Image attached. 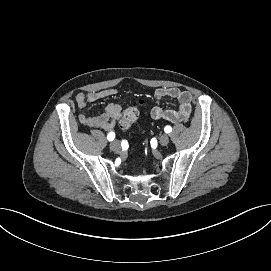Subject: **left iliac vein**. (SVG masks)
I'll use <instances>...</instances> for the list:
<instances>
[{
  "mask_svg": "<svg viewBox=\"0 0 271 271\" xmlns=\"http://www.w3.org/2000/svg\"><path fill=\"white\" fill-rule=\"evenodd\" d=\"M159 142L161 145L166 146L169 143V138L167 135L163 134L159 137Z\"/></svg>",
  "mask_w": 271,
  "mask_h": 271,
  "instance_id": "4c4485c4",
  "label": "left iliac vein"
}]
</instances>
